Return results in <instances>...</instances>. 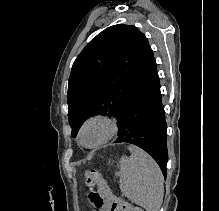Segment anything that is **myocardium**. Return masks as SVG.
<instances>
[{
	"mask_svg": "<svg viewBox=\"0 0 219 211\" xmlns=\"http://www.w3.org/2000/svg\"><path fill=\"white\" fill-rule=\"evenodd\" d=\"M95 122L101 123L104 126L105 128L104 134L100 139V141L97 142L96 144L86 145L82 141L83 131L89 124ZM117 131H118V121L114 116L105 113H97L86 118L81 124L78 132L79 143L85 148L97 149L103 146L105 143H107L111 138H113L117 134Z\"/></svg>",
	"mask_w": 219,
	"mask_h": 211,
	"instance_id": "obj_1",
	"label": "myocardium"
}]
</instances>
